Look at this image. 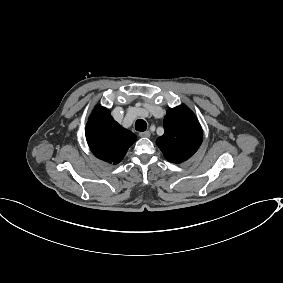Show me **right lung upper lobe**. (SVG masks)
Wrapping results in <instances>:
<instances>
[{"mask_svg":"<svg viewBox=\"0 0 283 283\" xmlns=\"http://www.w3.org/2000/svg\"><path fill=\"white\" fill-rule=\"evenodd\" d=\"M86 139L97 158L117 164L136 141V136L121 127L105 107L97 106L87 122Z\"/></svg>","mask_w":283,"mask_h":283,"instance_id":"right-lung-upper-lobe-1","label":"right lung upper lobe"}]
</instances>
